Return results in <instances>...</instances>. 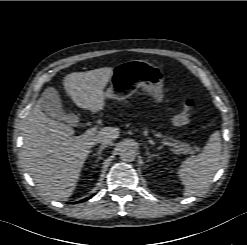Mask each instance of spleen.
Listing matches in <instances>:
<instances>
[{
    "label": "spleen",
    "mask_w": 247,
    "mask_h": 245,
    "mask_svg": "<svg viewBox=\"0 0 247 245\" xmlns=\"http://www.w3.org/2000/svg\"><path fill=\"white\" fill-rule=\"evenodd\" d=\"M221 149L220 133L215 131L200 154L182 162L178 176L186 195H193L210 185L219 168Z\"/></svg>",
    "instance_id": "1"
}]
</instances>
